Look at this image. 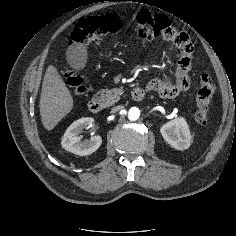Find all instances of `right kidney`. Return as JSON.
<instances>
[{
    "label": "right kidney",
    "instance_id": "obj_1",
    "mask_svg": "<svg viewBox=\"0 0 236 236\" xmlns=\"http://www.w3.org/2000/svg\"><path fill=\"white\" fill-rule=\"evenodd\" d=\"M94 119L90 117L81 118L73 122L66 130L61 145L65 150L80 156L90 155L101 145L100 136H94L90 140L81 141V133L84 129L93 125Z\"/></svg>",
    "mask_w": 236,
    "mask_h": 236
}]
</instances>
